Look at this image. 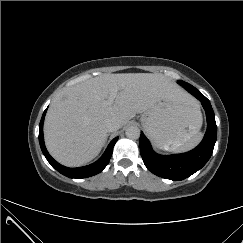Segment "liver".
I'll list each match as a JSON object with an SVG mask.
<instances>
[{
  "mask_svg": "<svg viewBox=\"0 0 243 243\" xmlns=\"http://www.w3.org/2000/svg\"><path fill=\"white\" fill-rule=\"evenodd\" d=\"M117 90L114 104L106 101ZM189 95L160 73L103 74L64 88L51 102L44 123L48 151L69 167L93 160L107 140L105 123L123 126L163 99L184 102Z\"/></svg>",
  "mask_w": 243,
  "mask_h": 243,
  "instance_id": "1",
  "label": "liver"
}]
</instances>
